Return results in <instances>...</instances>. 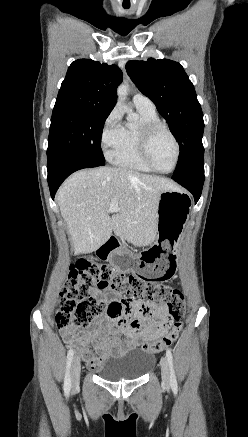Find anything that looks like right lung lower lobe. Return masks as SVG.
Segmentation results:
<instances>
[{
	"mask_svg": "<svg viewBox=\"0 0 248 437\" xmlns=\"http://www.w3.org/2000/svg\"><path fill=\"white\" fill-rule=\"evenodd\" d=\"M103 165L104 162L75 153L60 154L52 159H48V184L52 199H54L55 193L61 183L70 174L83 168H92Z\"/></svg>",
	"mask_w": 248,
	"mask_h": 437,
	"instance_id": "1",
	"label": "right lung lower lobe"
}]
</instances>
